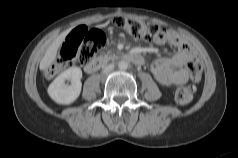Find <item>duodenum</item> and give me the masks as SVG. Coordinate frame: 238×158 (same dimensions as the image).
Here are the masks:
<instances>
[{"mask_svg":"<svg viewBox=\"0 0 238 158\" xmlns=\"http://www.w3.org/2000/svg\"><path fill=\"white\" fill-rule=\"evenodd\" d=\"M113 59H122L138 66L144 64V58L137 53H127L119 56H99L86 64L85 71L88 73L96 72L102 65Z\"/></svg>","mask_w":238,"mask_h":158,"instance_id":"obj_1","label":"duodenum"}]
</instances>
